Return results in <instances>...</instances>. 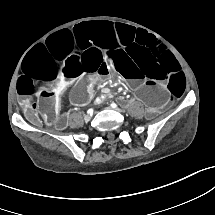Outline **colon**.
Returning <instances> with one entry per match:
<instances>
[{
  "label": "colon",
  "mask_w": 215,
  "mask_h": 215,
  "mask_svg": "<svg viewBox=\"0 0 215 215\" xmlns=\"http://www.w3.org/2000/svg\"><path fill=\"white\" fill-rule=\"evenodd\" d=\"M39 105L41 110L45 114V120L47 124H54L58 119V111L55 99L51 96L43 95L42 99H40L39 101ZM23 107H25L24 112L26 114V117L29 120L37 121L35 106L33 104H23Z\"/></svg>",
  "instance_id": "obj_1"
}]
</instances>
